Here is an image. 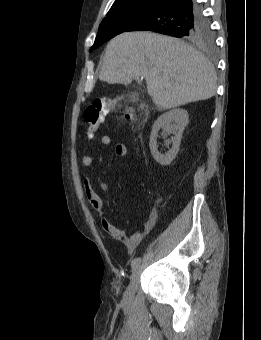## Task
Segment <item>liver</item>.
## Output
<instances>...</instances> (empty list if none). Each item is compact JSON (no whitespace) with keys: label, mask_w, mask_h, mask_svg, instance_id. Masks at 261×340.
<instances>
[{"label":"liver","mask_w":261,"mask_h":340,"mask_svg":"<svg viewBox=\"0 0 261 340\" xmlns=\"http://www.w3.org/2000/svg\"><path fill=\"white\" fill-rule=\"evenodd\" d=\"M145 78L148 94L161 109L215 95L216 72L199 51L179 39L152 32H125L106 47L99 79L127 85Z\"/></svg>","instance_id":"obj_1"}]
</instances>
